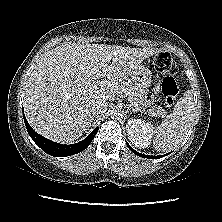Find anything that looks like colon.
I'll list each match as a JSON object with an SVG mask.
<instances>
[{"label": "colon", "instance_id": "1", "mask_svg": "<svg viewBox=\"0 0 222 222\" xmlns=\"http://www.w3.org/2000/svg\"><path fill=\"white\" fill-rule=\"evenodd\" d=\"M154 65L160 73L165 75L161 83V92L166 105L172 107L179 93L178 85L174 79V76L179 72V66L166 52H162L155 57Z\"/></svg>", "mask_w": 222, "mask_h": 222}]
</instances>
